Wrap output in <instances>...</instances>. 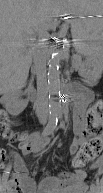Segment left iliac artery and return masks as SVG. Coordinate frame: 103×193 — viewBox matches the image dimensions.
Instances as JSON below:
<instances>
[{"mask_svg":"<svg viewBox=\"0 0 103 193\" xmlns=\"http://www.w3.org/2000/svg\"><path fill=\"white\" fill-rule=\"evenodd\" d=\"M57 116H58V118H62V114H61V113H59ZM91 188H92V189L94 188V185H93V184L91 185Z\"/></svg>","mask_w":103,"mask_h":193,"instance_id":"1","label":"left iliac artery"}]
</instances>
